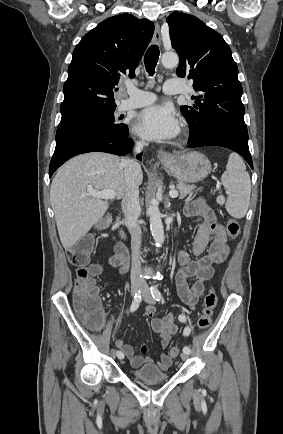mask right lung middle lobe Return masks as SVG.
Wrapping results in <instances>:
<instances>
[{"mask_svg": "<svg viewBox=\"0 0 283 434\" xmlns=\"http://www.w3.org/2000/svg\"><path fill=\"white\" fill-rule=\"evenodd\" d=\"M114 110L110 109L61 118L56 132V143L87 131L109 130L120 133L127 132V125L115 122Z\"/></svg>", "mask_w": 283, "mask_h": 434, "instance_id": "1", "label": "right lung middle lobe"}]
</instances>
